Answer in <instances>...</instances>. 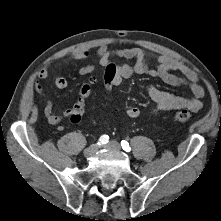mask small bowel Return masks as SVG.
Returning <instances> with one entry per match:
<instances>
[{
    "instance_id": "1",
    "label": "small bowel",
    "mask_w": 221,
    "mask_h": 221,
    "mask_svg": "<svg viewBox=\"0 0 221 221\" xmlns=\"http://www.w3.org/2000/svg\"><path fill=\"white\" fill-rule=\"evenodd\" d=\"M91 51L87 48H81L66 55V62L87 60L91 57ZM115 58H123L133 60V64H119L120 69L113 81V86L120 85L125 79H128L134 75L148 74L152 77H157L165 83L172 86H188L191 91V96L185 97L173 94L168 91L158 89L154 86H150L147 89L148 95L154 103L152 109L153 114L166 112L177 109H189L196 111L203 105L202 98L204 96V88L199 83L198 74L188 66L181 64L175 58L167 55H160L156 57L155 67H150L148 63L149 53L141 48H128L123 50L111 51L107 45L100 46L96 51L97 62L105 68L108 61ZM61 66L57 64L56 67ZM52 67V63L43 67L39 73L37 80L35 81L34 88L38 95L44 99L43 112L52 124H58L63 120L69 119L73 113V107L64 110L60 115L54 111L52 101L46 97L44 88L41 84L42 80L49 77V70ZM95 66L89 64L79 69L81 75H88L94 71ZM53 83L58 89H65L68 86L67 80L62 76H54ZM111 87V88H112ZM107 89V91H110ZM140 109L137 106H130L126 110V114L130 118H137L140 116Z\"/></svg>"
}]
</instances>
